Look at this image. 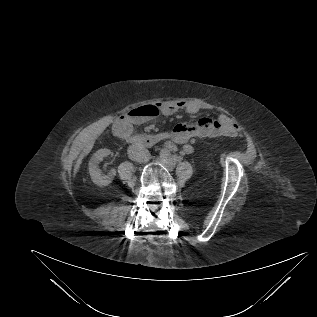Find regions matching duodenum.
<instances>
[{"instance_id": "1", "label": "duodenum", "mask_w": 317, "mask_h": 317, "mask_svg": "<svg viewBox=\"0 0 317 317\" xmlns=\"http://www.w3.org/2000/svg\"><path fill=\"white\" fill-rule=\"evenodd\" d=\"M117 131L118 133L123 135L126 139H128L132 145H138V146L152 147L168 138V134L165 132L155 133V134H146V135H133L130 133L121 132L118 128H117Z\"/></svg>"}]
</instances>
